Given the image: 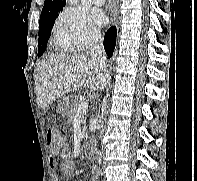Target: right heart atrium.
I'll return each mask as SVG.
<instances>
[{"mask_svg": "<svg viewBox=\"0 0 197 181\" xmlns=\"http://www.w3.org/2000/svg\"><path fill=\"white\" fill-rule=\"evenodd\" d=\"M55 30L63 37L69 48L83 52L100 41V32L94 27L86 14L73 7L64 8L58 15Z\"/></svg>", "mask_w": 197, "mask_h": 181, "instance_id": "1", "label": "right heart atrium"}]
</instances>
